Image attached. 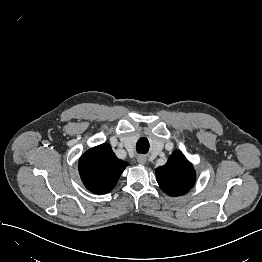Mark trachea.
I'll list each match as a JSON object with an SVG mask.
<instances>
[{
	"label": "trachea",
	"instance_id": "trachea-1",
	"mask_svg": "<svg viewBox=\"0 0 262 262\" xmlns=\"http://www.w3.org/2000/svg\"><path fill=\"white\" fill-rule=\"evenodd\" d=\"M140 150H143V149H140V147L137 145V151L140 153ZM143 153V152H141Z\"/></svg>",
	"mask_w": 262,
	"mask_h": 262
}]
</instances>
